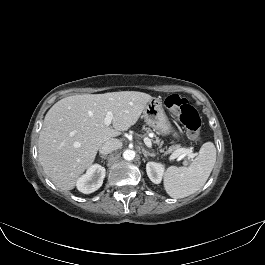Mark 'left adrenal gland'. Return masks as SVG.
<instances>
[{
    "mask_svg": "<svg viewBox=\"0 0 265 265\" xmlns=\"http://www.w3.org/2000/svg\"><path fill=\"white\" fill-rule=\"evenodd\" d=\"M142 152H143V155L145 158H147V156L155 157L154 153H151V152L145 150L144 148L142 149Z\"/></svg>",
    "mask_w": 265,
    "mask_h": 265,
    "instance_id": "a2214340",
    "label": "left adrenal gland"
}]
</instances>
